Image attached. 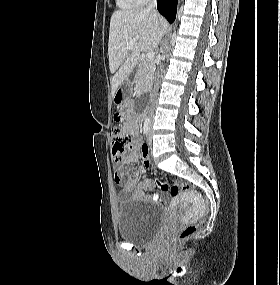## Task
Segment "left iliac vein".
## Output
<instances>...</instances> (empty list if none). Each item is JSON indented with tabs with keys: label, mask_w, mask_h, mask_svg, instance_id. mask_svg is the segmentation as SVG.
Returning a JSON list of instances; mask_svg holds the SVG:
<instances>
[{
	"label": "left iliac vein",
	"mask_w": 280,
	"mask_h": 285,
	"mask_svg": "<svg viewBox=\"0 0 280 285\" xmlns=\"http://www.w3.org/2000/svg\"><path fill=\"white\" fill-rule=\"evenodd\" d=\"M151 128H150V130H149V134H148V137H147V142H148V144L149 145H151L152 144V138H151Z\"/></svg>",
	"instance_id": "1"
}]
</instances>
